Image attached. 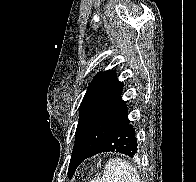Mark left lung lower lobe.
Segmentation results:
<instances>
[{"label":"left lung lower lobe","mask_w":196,"mask_h":182,"mask_svg":"<svg viewBox=\"0 0 196 182\" xmlns=\"http://www.w3.org/2000/svg\"><path fill=\"white\" fill-rule=\"evenodd\" d=\"M137 138L135 128L130 124L128 116L114 128V130L93 150L90 152L73 153L75 159V168L69 178H71L79 164L87 158L104 152H117L134 157L137 154Z\"/></svg>","instance_id":"obj_1"}]
</instances>
